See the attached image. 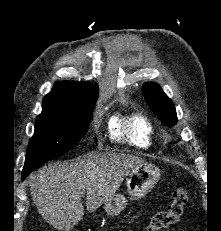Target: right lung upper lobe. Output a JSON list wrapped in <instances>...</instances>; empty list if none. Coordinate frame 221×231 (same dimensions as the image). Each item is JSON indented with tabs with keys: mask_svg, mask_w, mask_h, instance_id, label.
Listing matches in <instances>:
<instances>
[{
	"mask_svg": "<svg viewBox=\"0 0 221 231\" xmlns=\"http://www.w3.org/2000/svg\"><path fill=\"white\" fill-rule=\"evenodd\" d=\"M98 87L86 82H56L52 91L43 98V111H73L95 104Z\"/></svg>",
	"mask_w": 221,
	"mask_h": 231,
	"instance_id": "obj_1",
	"label": "right lung upper lobe"
}]
</instances>
